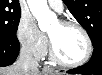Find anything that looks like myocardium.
Here are the masks:
<instances>
[{
	"mask_svg": "<svg viewBox=\"0 0 102 75\" xmlns=\"http://www.w3.org/2000/svg\"><path fill=\"white\" fill-rule=\"evenodd\" d=\"M59 24L63 27H75L78 30H80L86 42V52L80 60L76 62H66L58 56L57 51L53 45V42L51 38L49 37V55H50L51 60L55 62L56 64L63 66V67H75V66L85 63L92 54V42H91V39H90V36L87 30L79 22L72 20V19L60 20Z\"/></svg>",
	"mask_w": 102,
	"mask_h": 75,
	"instance_id": "obj_1",
	"label": "myocardium"
}]
</instances>
